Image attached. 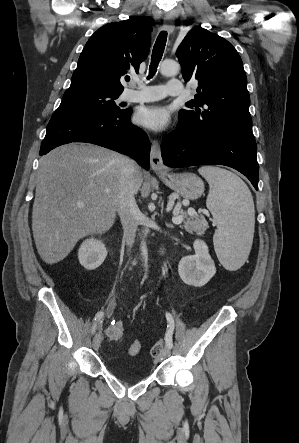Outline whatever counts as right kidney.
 <instances>
[{"label": "right kidney", "instance_id": "obj_1", "mask_svg": "<svg viewBox=\"0 0 299 443\" xmlns=\"http://www.w3.org/2000/svg\"><path fill=\"white\" fill-rule=\"evenodd\" d=\"M107 256V249L104 243L95 238L85 240L78 251L80 264L87 270L98 268Z\"/></svg>", "mask_w": 299, "mask_h": 443}]
</instances>
